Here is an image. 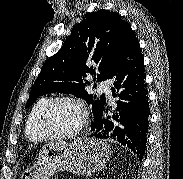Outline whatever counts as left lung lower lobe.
<instances>
[{
    "instance_id": "1",
    "label": "left lung lower lobe",
    "mask_w": 183,
    "mask_h": 179,
    "mask_svg": "<svg viewBox=\"0 0 183 179\" xmlns=\"http://www.w3.org/2000/svg\"><path fill=\"white\" fill-rule=\"evenodd\" d=\"M145 77L138 39L129 30L109 78L114 85L112 94L119 99L117 113L105 116L103 109L94 118L91 126L94 133L90 135L116 140L129 147L140 160L145 154L150 115Z\"/></svg>"
}]
</instances>
